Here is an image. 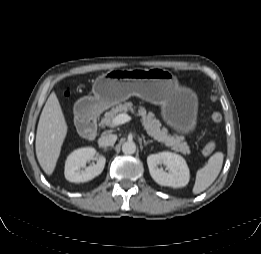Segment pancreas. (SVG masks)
I'll use <instances>...</instances> for the list:
<instances>
[{
  "mask_svg": "<svg viewBox=\"0 0 261 254\" xmlns=\"http://www.w3.org/2000/svg\"><path fill=\"white\" fill-rule=\"evenodd\" d=\"M132 102H125L113 107L110 111L106 112L101 120L102 125L114 126L112 120L121 113L128 111L134 112ZM138 115L141 116V122L146 130L147 134L158 142L164 143L167 147H171L176 152H181L186 155L190 153V148L186 142H183L178 136H170L166 128H162V125L158 119L154 117V114L140 106L138 108Z\"/></svg>",
  "mask_w": 261,
  "mask_h": 254,
  "instance_id": "obj_1",
  "label": "pancreas"
}]
</instances>
